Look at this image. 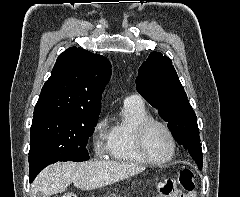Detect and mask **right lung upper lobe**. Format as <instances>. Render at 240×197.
<instances>
[{"mask_svg": "<svg viewBox=\"0 0 240 197\" xmlns=\"http://www.w3.org/2000/svg\"><path fill=\"white\" fill-rule=\"evenodd\" d=\"M110 77L111 64L107 58L82 48H68L57 58L34 114L99 115L102 92Z\"/></svg>", "mask_w": 240, "mask_h": 197, "instance_id": "obj_1", "label": "right lung upper lobe"}]
</instances>
